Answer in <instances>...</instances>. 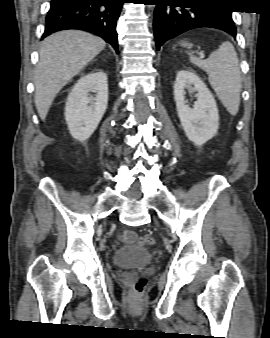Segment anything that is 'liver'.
I'll return each mask as SVG.
<instances>
[{
    "instance_id": "obj_1",
    "label": "liver",
    "mask_w": 270,
    "mask_h": 338,
    "mask_svg": "<svg viewBox=\"0 0 270 338\" xmlns=\"http://www.w3.org/2000/svg\"><path fill=\"white\" fill-rule=\"evenodd\" d=\"M105 46L100 37L78 30L57 32L44 39L34 76V101L42 120L59 91Z\"/></svg>"
}]
</instances>
